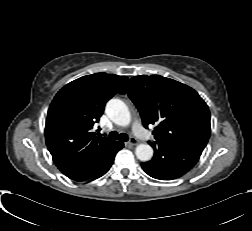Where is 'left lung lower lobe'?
Instances as JSON below:
<instances>
[{
  "instance_id": "1",
  "label": "left lung lower lobe",
  "mask_w": 252,
  "mask_h": 231,
  "mask_svg": "<svg viewBox=\"0 0 252 231\" xmlns=\"http://www.w3.org/2000/svg\"><path fill=\"white\" fill-rule=\"evenodd\" d=\"M154 156L142 163L144 171L160 180L176 179L188 172L199 160L202 148L185 143H150Z\"/></svg>"
}]
</instances>
